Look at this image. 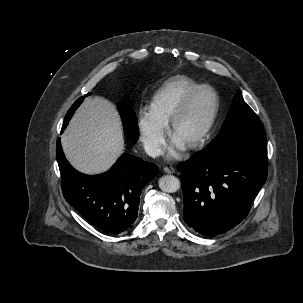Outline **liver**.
<instances>
[{"instance_id":"obj_1","label":"liver","mask_w":303,"mask_h":303,"mask_svg":"<svg viewBox=\"0 0 303 303\" xmlns=\"http://www.w3.org/2000/svg\"><path fill=\"white\" fill-rule=\"evenodd\" d=\"M62 147L78 171H107L124 150L121 123L114 106L100 97L87 98L63 134Z\"/></svg>"}]
</instances>
